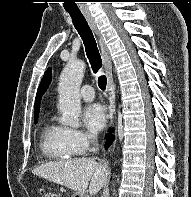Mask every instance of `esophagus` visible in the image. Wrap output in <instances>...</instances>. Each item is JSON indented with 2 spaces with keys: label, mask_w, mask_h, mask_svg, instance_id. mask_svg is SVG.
<instances>
[{
  "label": "esophagus",
  "mask_w": 191,
  "mask_h": 197,
  "mask_svg": "<svg viewBox=\"0 0 191 197\" xmlns=\"http://www.w3.org/2000/svg\"><path fill=\"white\" fill-rule=\"evenodd\" d=\"M84 16H85L86 20L88 21L91 29L96 34L98 41H99L102 60H103L105 73H106V77H107V98H108V102H109L108 117L110 119L109 127H112L113 126V118H114V114H115V101H114V84H113V76H112L111 57H110L109 51H108L103 39L99 33V30L97 28L94 18L88 12H85Z\"/></svg>",
  "instance_id": "34e87169"
}]
</instances>
